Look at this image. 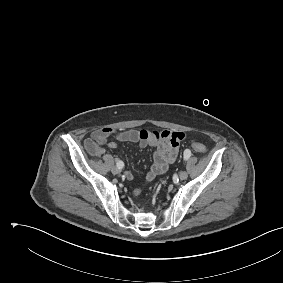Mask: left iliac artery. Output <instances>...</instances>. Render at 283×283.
Instances as JSON below:
<instances>
[{"instance_id": "44dca946", "label": "left iliac artery", "mask_w": 283, "mask_h": 283, "mask_svg": "<svg viewBox=\"0 0 283 283\" xmlns=\"http://www.w3.org/2000/svg\"><path fill=\"white\" fill-rule=\"evenodd\" d=\"M190 155H191L190 151L189 150H185V152H184V160H188L190 158Z\"/></svg>"}]
</instances>
